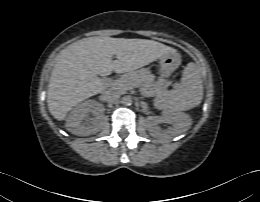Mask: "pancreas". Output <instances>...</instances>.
Wrapping results in <instances>:
<instances>
[{
    "mask_svg": "<svg viewBox=\"0 0 260 202\" xmlns=\"http://www.w3.org/2000/svg\"><path fill=\"white\" fill-rule=\"evenodd\" d=\"M107 86L119 93H125L132 87H139L142 95L153 97L165 92L168 82L159 80L155 82V76L147 68L123 74L116 80H109Z\"/></svg>",
    "mask_w": 260,
    "mask_h": 202,
    "instance_id": "1",
    "label": "pancreas"
}]
</instances>
